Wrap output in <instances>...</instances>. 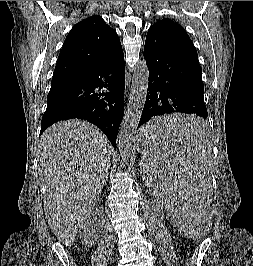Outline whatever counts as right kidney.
<instances>
[{"mask_svg":"<svg viewBox=\"0 0 253 266\" xmlns=\"http://www.w3.org/2000/svg\"><path fill=\"white\" fill-rule=\"evenodd\" d=\"M96 219L95 215L92 214V217L85 220L79 227V235L82 243L85 245L92 246L100 239V229L97 227L98 225L94 223Z\"/></svg>","mask_w":253,"mask_h":266,"instance_id":"right-kidney-1","label":"right kidney"}]
</instances>
